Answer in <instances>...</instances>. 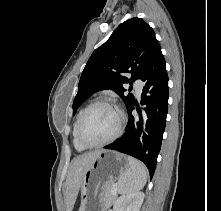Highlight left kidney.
Masks as SVG:
<instances>
[{
  "label": "left kidney",
  "mask_w": 221,
  "mask_h": 211,
  "mask_svg": "<svg viewBox=\"0 0 221 211\" xmlns=\"http://www.w3.org/2000/svg\"><path fill=\"white\" fill-rule=\"evenodd\" d=\"M143 200V192L120 196L114 203L113 211H139Z\"/></svg>",
  "instance_id": "left-kidney-1"
}]
</instances>
